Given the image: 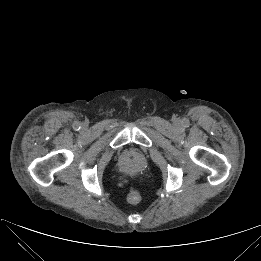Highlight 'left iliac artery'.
<instances>
[{
  "label": "left iliac artery",
  "mask_w": 261,
  "mask_h": 261,
  "mask_svg": "<svg viewBox=\"0 0 261 261\" xmlns=\"http://www.w3.org/2000/svg\"><path fill=\"white\" fill-rule=\"evenodd\" d=\"M184 124H185V126H188L189 121H188V120H185V121H184Z\"/></svg>",
  "instance_id": "obj_1"
}]
</instances>
